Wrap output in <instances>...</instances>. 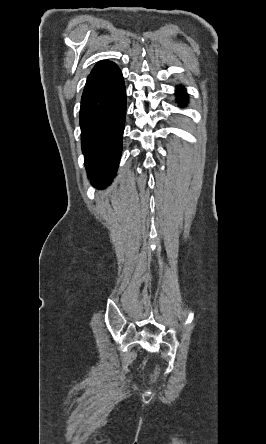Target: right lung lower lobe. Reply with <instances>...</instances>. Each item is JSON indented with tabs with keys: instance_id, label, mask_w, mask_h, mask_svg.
Segmentation results:
<instances>
[{
	"instance_id": "obj_1",
	"label": "right lung lower lobe",
	"mask_w": 266,
	"mask_h": 444,
	"mask_svg": "<svg viewBox=\"0 0 266 444\" xmlns=\"http://www.w3.org/2000/svg\"><path fill=\"white\" fill-rule=\"evenodd\" d=\"M126 92L118 66L105 61L89 74L84 87L80 127L82 151L91 183L104 188L113 180L122 152Z\"/></svg>"
}]
</instances>
